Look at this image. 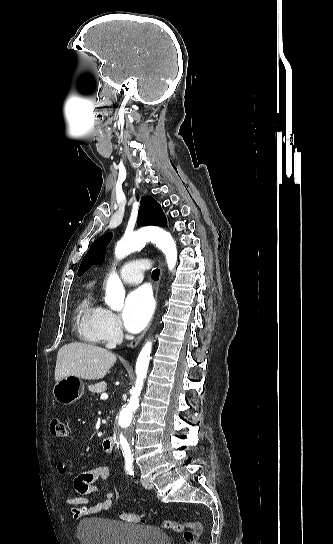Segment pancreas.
<instances>
[{"label":"pancreas","instance_id":"obj_1","mask_svg":"<svg viewBox=\"0 0 333 544\" xmlns=\"http://www.w3.org/2000/svg\"><path fill=\"white\" fill-rule=\"evenodd\" d=\"M89 390L93 394H101L106 390V383L105 382H99L97 384L90 385Z\"/></svg>","mask_w":333,"mask_h":544}]
</instances>
